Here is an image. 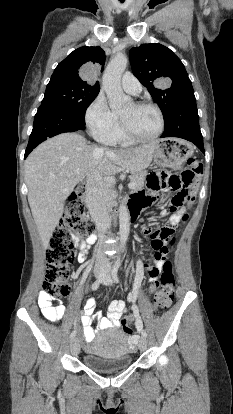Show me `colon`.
Returning a JSON list of instances; mask_svg holds the SVG:
<instances>
[{"instance_id": "obj_1", "label": "colon", "mask_w": 233, "mask_h": 414, "mask_svg": "<svg viewBox=\"0 0 233 414\" xmlns=\"http://www.w3.org/2000/svg\"><path fill=\"white\" fill-rule=\"evenodd\" d=\"M203 173V165L195 159H190L188 168L180 175L164 170L155 171L147 177L146 185L150 192H167L173 194L171 208L177 210L184 205H190L195 200V190L199 178ZM86 191L83 186L74 189L69 197V203L63 213L58 227L54 230L48 250L46 278L43 285L44 291L55 298L68 294V280L72 275V263L74 260V239L69 230L82 236L92 230V223L84 215L83 199ZM187 215L183 217V220ZM171 228H163L155 233L152 247L155 259H164L160 270L153 267L151 273L157 276L153 285V309L155 311L166 310L172 304L174 298L175 276L172 265L165 260L167 243L173 244ZM133 318L125 317L121 320V326L125 333H132Z\"/></svg>"}]
</instances>
